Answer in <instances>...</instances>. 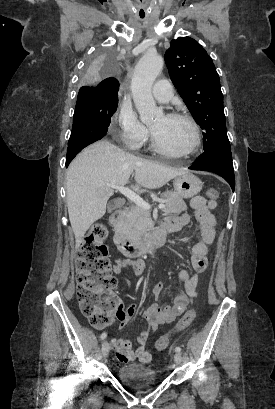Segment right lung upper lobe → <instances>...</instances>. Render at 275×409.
<instances>
[{"label": "right lung upper lobe", "mask_w": 275, "mask_h": 409, "mask_svg": "<svg viewBox=\"0 0 275 409\" xmlns=\"http://www.w3.org/2000/svg\"><path fill=\"white\" fill-rule=\"evenodd\" d=\"M119 90V82L116 78L110 77L101 81L100 85H93L89 89L81 87L80 94H90L97 97L113 96L118 97L117 92Z\"/></svg>", "instance_id": "obj_1"}]
</instances>
